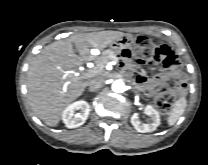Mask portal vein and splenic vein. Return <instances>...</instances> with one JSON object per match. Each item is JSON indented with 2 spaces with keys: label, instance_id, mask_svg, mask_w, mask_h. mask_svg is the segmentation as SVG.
I'll return each instance as SVG.
<instances>
[{
  "label": "portal vein and splenic vein",
  "instance_id": "obj_1",
  "mask_svg": "<svg viewBox=\"0 0 208 165\" xmlns=\"http://www.w3.org/2000/svg\"><path fill=\"white\" fill-rule=\"evenodd\" d=\"M98 73H99V70L97 68H94V69L88 70L86 73L83 74V76L85 78H88V77H93V76H95ZM75 75H76V73H75Z\"/></svg>",
  "mask_w": 208,
  "mask_h": 165
}]
</instances>
